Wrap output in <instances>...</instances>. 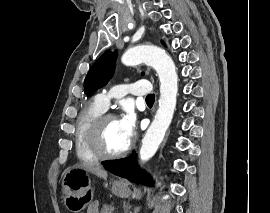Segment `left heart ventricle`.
Returning <instances> with one entry per match:
<instances>
[{
	"label": "left heart ventricle",
	"mask_w": 270,
	"mask_h": 213,
	"mask_svg": "<svg viewBox=\"0 0 270 213\" xmlns=\"http://www.w3.org/2000/svg\"><path fill=\"white\" fill-rule=\"evenodd\" d=\"M102 145L108 153H117L127 147L128 142L117 119H110L106 122L102 134Z\"/></svg>",
	"instance_id": "left-heart-ventricle-1"
}]
</instances>
